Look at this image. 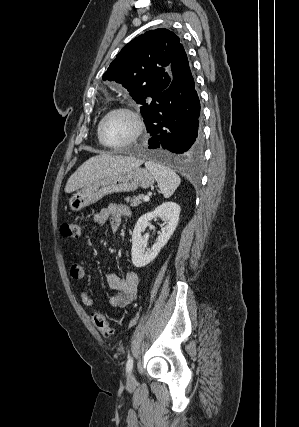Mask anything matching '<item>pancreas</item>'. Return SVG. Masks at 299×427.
<instances>
[{"instance_id": "obj_1", "label": "pancreas", "mask_w": 299, "mask_h": 427, "mask_svg": "<svg viewBox=\"0 0 299 427\" xmlns=\"http://www.w3.org/2000/svg\"><path fill=\"white\" fill-rule=\"evenodd\" d=\"M143 195L134 196L133 198L127 197L126 201L131 202L132 207H137L142 204Z\"/></svg>"}]
</instances>
